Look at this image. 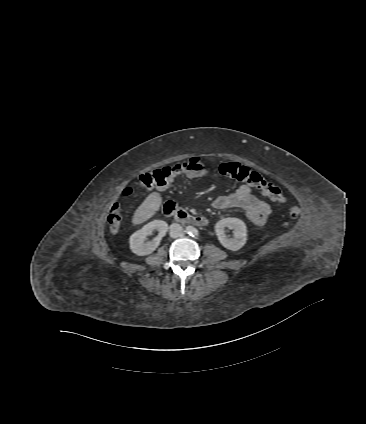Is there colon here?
<instances>
[{
  "mask_svg": "<svg viewBox=\"0 0 366 424\" xmlns=\"http://www.w3.org/2000/svg\"><path fill=\"white\" fill-rule=\"evenodd\" d=\"M219 172L222 176L245 182L248 185L258 188L265 196L278 204L284 203L286 200L282 190L275 183L267 180L260 173L249 167L237 162H227L220 165ZM206 173L207 167L203 160L199 157H191L180 164L165 166L146 172L138 177L136 183L143 188L164 187L180 175L202 177ZM130 193L131 190L129 189L125 191L126 195ZM298 214L299 208L297 206L291 205L288 208L289 220L295 219ZM121 219L122 207L119 203H116L107 217L108 228L113 232L118 231Z\"/></svg>",
  "mask_w": 366,
  "mask_h": 424,
  "instance_id": "colon-1",
  "label": "colon"
}]
</instances>
